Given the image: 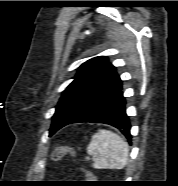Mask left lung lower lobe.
<instances>
[{
  "label": "left lung lower lobe",
  "mask_w": 178,
  "mask_h": 186,
  "mask_svg": "<svg viewBox=\"0 0 178 186\" xmlns=\"http://www.w3.org/2000/svg\"><path fill=\"white\" fill-rule=\"evenodd\" d=\"M80 122L111 125L119 129L128 141L131 142L130 123L129 117L126 114V100L123 96L122 88L79 114L70 123Z\"/></svg>",
  "instance_id": "0a47b994"
}]
</instances>
